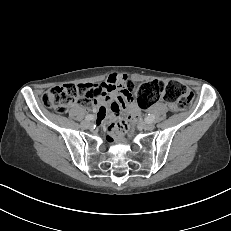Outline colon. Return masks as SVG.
Here are the masks:
<instances>
[{
	"instance_id": "5ec220e1",
	"label": "colon",
	"mask_w": 231,
	"mask_h": 231,
	"mask_svg": "<svg viewBox=\"0 0 231 231\" xmlns=\"http://www.w3.org/2000/svg\"><path fill=\"white\" fill-rule=\"evenodd\" d=\"M128 92L135 91L138 108H147L159 100L166 101L172 110H185L190 107L192 92L176 81L153 80L135 87L126 82ZM89 89L85 85L64 84L48 89L41 97L42 104L57 113H65L77 101H87ZM138 117V109L131 111L128 123L121 124L123 131H128L130 125Z\"/></svg>"
}]
</instances>
